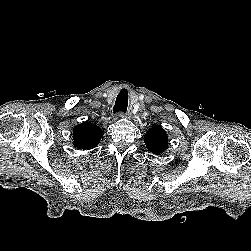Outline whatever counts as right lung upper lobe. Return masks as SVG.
Listing matches in <instances>:
<instances>
[{
	"label": "right lung upper lobe",
	"mask_w": 251,
	"mask_h": 251,
	"mask_svg": "<svg viewBox=\"0 0 251 251\" xmlns=\"http://www.w3.org/2000/svg\"><path fill=\"white\" fill-rule=\"evenodd\" d=\"M103 136V130L90 122L78 124L73 129V144L78 149L90 150L96 147Z\"/></svg>",
	"instance_id": "obj_1"
}]
</instances>
